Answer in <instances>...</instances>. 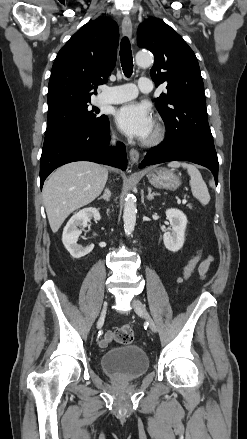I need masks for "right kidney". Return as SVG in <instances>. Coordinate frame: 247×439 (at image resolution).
<instances>
[{
    "mask_svg": "<svg viewBox=\"0 0 247 439\" xmlns=\"http://www.w3.org/2000/svg\"><path fill=\"white\" fill-rule=\"evenodd\" d=\"M91 218L100 220L99 210L93 207L84 208L70 218L63 230L62 242L73 258H81L89 254L94 248V245L87 247L77 245L78 237L81 234L78 227L85 226Z\"/></svg>",
    "mask_w": 247,
    "mask_h": 439,
    "instance_id": "obj_1",
    "label": "right kidney"
}]
</instances>
